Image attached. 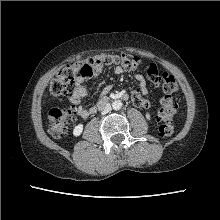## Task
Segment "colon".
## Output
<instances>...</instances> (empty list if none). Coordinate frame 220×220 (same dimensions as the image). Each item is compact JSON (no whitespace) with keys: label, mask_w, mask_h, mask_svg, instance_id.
Masks as SVG:
<instances>
[{"label":"colon","mask_w":220,"mask_h":220,"mask_svg":"<svg viewBox=\"0 0 220 220\" xmlns=\"http://www.w3.org/2000/svg\"><path fill=\"white\" fill-rule=\"evenodd\" d=\"M118 65L127 71H135L142 66V60L132 54H101L95 55L83 61L64 66L59 69L49 84V95L52 100L67 98L71 93V85L79 75H86L89 70L98 67ZM147 78L156 85H160L164 96L158 111L161 122L159 134L169 137L174 133L173 118L177 111V105L172 94L178 90L175 77L167 72L159 73L157 66L150 63L145 68ZM74 120V109L54 106L49 111V129L55 138L65 135Z\"/></svg>","instance_id":"1"}]
</instances>
